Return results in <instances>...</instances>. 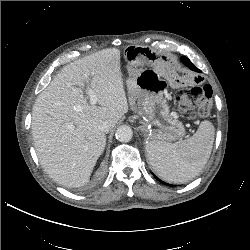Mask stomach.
I'll return each instance as SVG.
<instances>
[{"label": "stomach", "instance_id": "obj_1", "mask_svg": "<svg viewBox=\"0 0 250 250\" xmlns=\"http://www.w3.org/2000/svg\"><path fill=\"white\" fill-rule=\"evenodd\" d=\"M128 63L129 79L127 89L133 111L160 128L155 139L172 140L185 132L180 121L169 112L165 86L160 76L152 69L146 68L155 62V53L146 46L130 45L124 50Z\"/></svg>", "mask_w": 250, "mask_h": 250}]
</instances>
